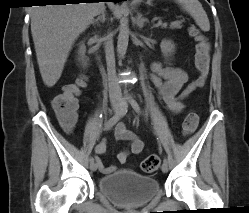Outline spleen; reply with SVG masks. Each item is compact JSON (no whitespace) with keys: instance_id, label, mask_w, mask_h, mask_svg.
Here are the masks:
<instances>
[{"instance_id":"1","label":"spleen","mask_w":249,"mask_h":213,"mask_svg":"<svg viewBox=\"0 0 249 213\" xmlns=\"http://www.w3.org/2000/svg\"><path fill=\"white\" fill-rule=\"evenodd\" d=\"M181 5L182 9L189 13L195 20L196 24L203 30H210V23L202 4L198 0H175Z\"/></svg>"}]
</instances>
